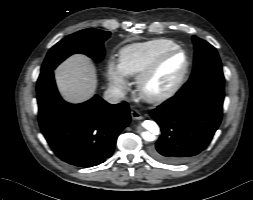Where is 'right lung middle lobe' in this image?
Here are the masks:
<instances>
[{"label": "right lung middle lobe", "mask_w": 253, "mask_h": 200, "mask_svg": "<svg viewBox=\"0 0 253 200\" xmlns=\"http://www.w3.org/2000/svg\"><path fill=\"white\" fill-rule=\"evenodd\" d=\"M109 36L110 32L93 28L71 34L49 50L41 71L55 69L74 53L86 54L91 58L101 60L104 56L103 43Z\"/></svg>", "instance_id": "obj_1"}]
</instances>
